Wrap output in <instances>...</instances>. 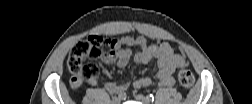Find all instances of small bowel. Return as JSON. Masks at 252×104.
Returning <instances> with one entry per match:
<instances>
[{
    "label": "small bowel",
    "instance_id": "1",
    "mask_svg": "<svg viewBox=\"0 0 252 104\" xmlns=\"http://www.w3.org/2000/svg\"><path fill=\"white\" fill-rule=\"evenodd\" d=\"M119 48L112 54L104 58L107 64L116 63L118 67L124 68L127 66L132 52L129 47H137L138 52L134 55V61L139 64H147L152 60H156V77L159 85L170 87L175 84L173 73L177 68L185 66L184 58L175 53L173 47L167 43L159 45L149 44L144 37L133 38L124 36L118 41ZM91 86L96 85L97 79L95 76L87 80ZM152 84V79L142 77L134 81L133 86L136 89H142ZM129 83L119 84L114 81H108L104 84L105 89L110 94H118L123 92Z\"/></svg>",
    "mask_w": 252,
    "mask_h": 104
}]
</instances>
